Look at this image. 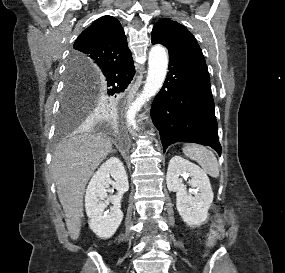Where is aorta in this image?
<instances>
[{
  "instance_id": "1",
  "label": "aorta",
  "mask_w": 285,
  "mask_h": 273,
  "mask_svg": "<svg viewBox=\"0 0 285 273\" xmlns=\"http://www.w3.org/2000/svg\"><path fill=\"white\" fill-rule=\"evenodd\" d=\"M168 68V55L162 45H154L149 51L148 75L142 92L128 110V121L136 128L135 115L141 107L162 87Z\"/></svg>"
}]
</instances>
